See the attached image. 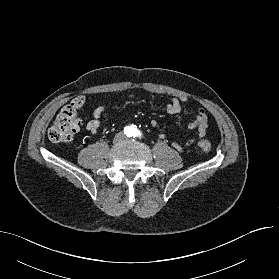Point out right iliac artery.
<instances>
[{"label": "right iliac artery", "instance_id": "82829eb1", "mask_svg": "<svg viewBox=\"0 0 279 279\" xmlns=\"http://www.w3.org/2000/svg\"><path fill=\"white\" fill-rule=\"evenodd\" d=\"M124 132L128 137H131L133 133V129L131 127H126Z\"/></svg>", "mask_w": 279, "mask_h": 279}]
</instances>
